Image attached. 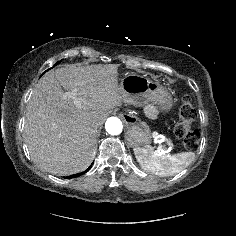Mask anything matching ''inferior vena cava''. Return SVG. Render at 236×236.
Segmentation results:
<instances>
[{"instance_id": "obj_1", "label": "inferior vena cava", "mask_w": 236, "mask_h": 236, "mask_svg": "<svg viewBox=\"0 0 236 236\" xmlns=\"http://www.w3.org/2000/svg\"><path fill=\"white\" fill-rule=\"evenodd\" d=\"M99 126H100V124H99L97 121H94V122L92 123V125H91V127H92L93 129H98Z\"/></svg>"}]
</instances>
